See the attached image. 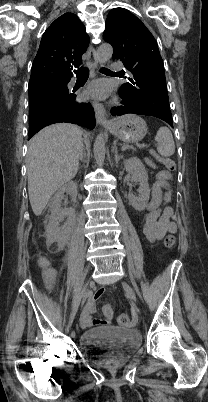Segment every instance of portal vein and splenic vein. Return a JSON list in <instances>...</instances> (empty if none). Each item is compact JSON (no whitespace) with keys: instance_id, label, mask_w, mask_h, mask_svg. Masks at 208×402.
Segmentation results:
<instances>
[{"instance_id":"portal-vein-and-splenic-vein-1","label":"portal vein and splenic vein","mask_w":208,"mask_h":402,"mask_svg":"<svg viewBox=\"0 0 208 402\" xmlns=\"http://www.w3.org/2000/svg\"><path fill=\"white\" fill-rule=\"evenodd\" d=\"M128 148H130V146H123L122 150H128ZM136 148H144V144L136 145Z\"/></svg>"}]
</instances>
